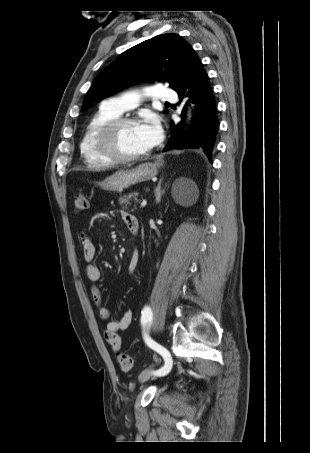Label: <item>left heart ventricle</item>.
<instances>
[{
	"mask_svg": "<svg viewBox=\"0 0 310 453\" xmlns=\"http://www.w3.org/2000/svg\"><path fill=\"white\" fill-rule=\"evenodd\" d=\"M114 146L116 151L124 156L141 154L149 150L140 135L139 124L121 128L116 135Z\"/></svg>",
	"mask_w": 310,
	"mask_h": 453,
	"instance_id": "obj_1",
	"label": "left heart ventricle"
}]
</instances>
